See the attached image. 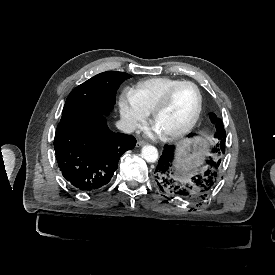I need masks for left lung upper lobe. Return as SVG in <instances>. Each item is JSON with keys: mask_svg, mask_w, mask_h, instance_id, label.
I'll return each mask as SVG.
<instances>
[{"mask_svg": "<svg viewBox=\"0 0 275 275\" xmlns=\"http://www.w3.org/2000/svg\"><path fill=\"white\" fill-rule=\"evenodd\" d=\"M210 119L212 121V123H216V134H215V138L220 140V143L217 144V147H220L219 149L214 148L213 149V153H216L218 151H222V153H224L225 150V130L223 128V124L221 122L220 119H217L215 114L211 113L210 114ZM190 136H192V134H190ZM209 164H214L215 162L210 160L208 161Z\"/></svg>", "mask_w": 275, "mask_h": 275, "instance_id": "1", "label": "left lung upper lobe"}]
</instances>
